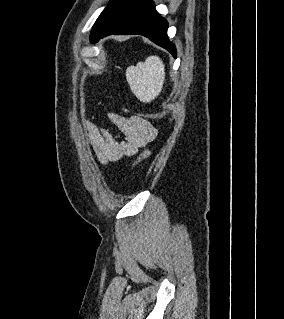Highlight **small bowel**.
Returning a JSON list of instances; mask_svg holds the SVG:
<instances>
[{
	"label": "small bowel",
	"mask_w": 284,
	"mask_h": 319,
	"mask_svg": "<svg viewBox=\"0 0 284 319\" xmlns=\"http://www.w3.org/2000/svg\"><path fill=\"white\" fill-rule=\"evenodd\" d=\"M108 119L121 132V137L108 129L97 127L92 122L84 123L90 144L98 161L103 165L135 155L157 136L156 128L140 116L124 117L109 113Z\"/></svg>",
	"instance_id": "obj_1"
}]
</instances>
